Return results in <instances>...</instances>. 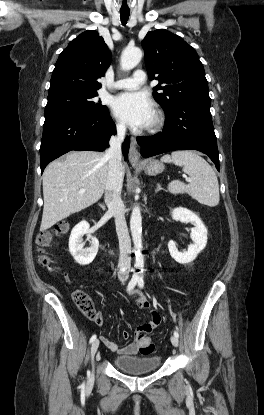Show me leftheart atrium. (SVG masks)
<instances>
[{"label":"left heart atrium","instance_id":"1","mask_svg":"<svg viewBox=\"0 0 264 415\" xmlns=\"http://www.w3.org/2000/svg\"><path fill=\"white\" fill-rule=\"evenodd\" d=\"M115 115L134 128L150 124L154 116V106L144 92H126L117 96L113 103Z\"/></svg>","mask_w":264,"mask_h":415}]
</instances>
